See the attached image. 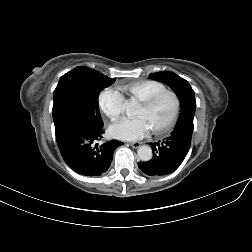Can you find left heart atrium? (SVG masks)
<instances>
[{
  "label": "left heart atrium",
  "instance_id": "left-heart-atrium-1",
  "mask_svg": "<svg viewBox=\"0 0 252 252\" xmlns=\"http://www.w3.org/2000/svg\"><path fill=\"white\" fill-rule=\"evenodd\" d=\"M109 132L115 138L131 141L144 137L149 127L142 117L123 118L114 123Z\"/></svg>",
  "mask_w": 252,
  "mask_h": 252
}]
</instances>
